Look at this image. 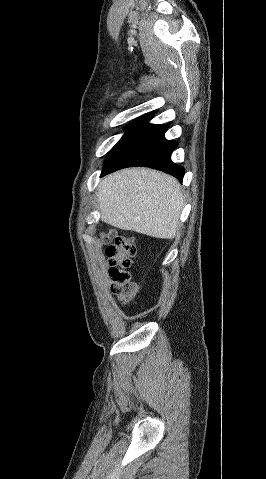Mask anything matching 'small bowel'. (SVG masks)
Returning a JSON list of instances; mask_svg holds the SVG:
<instances>
[{"instance_id":"c3829d8e","label":"small bowel","mask_w":266,"mask_h":479,"mask_svg":"<svg viewBox=\"0 0 266 479\" xmlns=\"http://www.w3.org/2000/svg\"><path fill=\"white\" fill-rule=\"evenodd\" d=\"M138 291L139 286L136 283H132L128 290L117 292L118 299L123 305L130 304L135 299Z\"/></svg>"}]
</instances>
